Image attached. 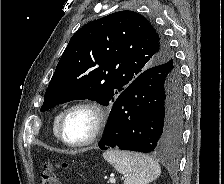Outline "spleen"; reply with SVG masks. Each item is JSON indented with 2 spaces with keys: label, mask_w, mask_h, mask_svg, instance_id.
I'll use <instances>...</instances> for the list:
<instances>
[{
  "label": "spleen",
  "mask_w": 224,
  "mask_h": 184,
  "mask_svg": "<svg viewBox=\"0 0 224 184\" xmlns=\"http://www.w3.org/2000/svg\"><path fill=\"white\" fill-rule=\"evenodd\" d=\"M103 158L125 175L124 184H149L161 174L160 165L140 153L111 150L103 153Z\"/></svg>",
  "instance_id": "spleen-1"
}]
</instances>
